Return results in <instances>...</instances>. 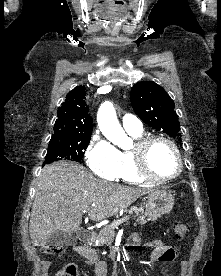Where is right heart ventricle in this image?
Wrapping results in <instances>:
<instances>
[{"instance_id":"1","label":"right heart ventricle","mask_w":221,"mask_h":276,"mask_svg":"<svg viewBox=\"0 0 221 276\" xmlns=\"http://www.w3.org/2000/svg\"><path fill=\"white\" fill-rule=\"evenodd\" d=\"M129 134L136 139H139L142 137V132H139V133L129 132ZM120 156H121V165H120V170H119L117 179H120L128 183H142L144 179L141 178L136 171L132 152L131 151L120 152Z\"/></svg>"}]
</instances>
